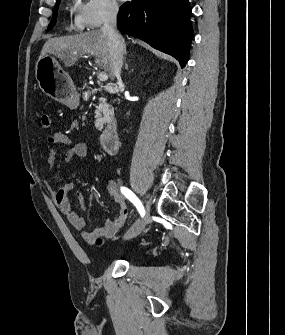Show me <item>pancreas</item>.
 Segmentation results:
<instances>
[{
    "instance_id": "1",
    "label": "pancreas",
    "mask_w": 285,
    "mask_h": 335,
    "mask_svg": "<svg viewBox=\"0 0 285 335\" xmlns=\"http://www.w3.org/2000/svg\"><path fill=\"white\" fill-rule=\"evenodd\" d=\"M99 106H97V111L94 113L93 124L94 125H105L106 122H110L111 118L114 116V108L112 106H106L105 100L100 98Z\"/></svg>"
}]
</instances>
